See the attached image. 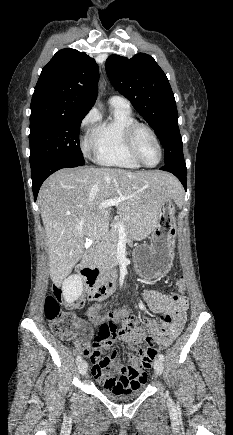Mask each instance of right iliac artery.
I'll use <instances>...</instances> for the list:
<instances>
[{"mask_svg":"<svg viewBox=\"0 0 233 435\" xmlns=\"http://www.w3.org/2000/svg\"><path fill=\"white\" fill-rule=\"evenodd\" d=\"M81 360H82V357L81 356H77L76 361L80 362Z\"/></svg>","mask_w":233,"mask_h":435,"instance_id":"1","label":"right iliac artery"}]
</instances>
